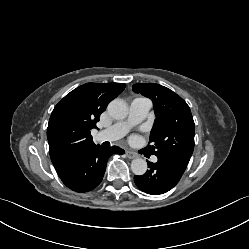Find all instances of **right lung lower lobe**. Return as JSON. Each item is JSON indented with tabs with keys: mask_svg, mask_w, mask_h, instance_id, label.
<instances>
[{
	"mask_svg": "<svg viewBox=\"0 0 249 249\" xmlns=\"http://www.w3.org/2000/svg\"><path fill=\"white\" fill-rule=\"evenodd\" d=\"M113 153L124 154V150L117 146L107 150L94 144L59 177L73 191L93 190L102 181L107 160Z\"/></svg>",
	"mask_w": 249,
	"mask_h": 249,
	"instance_id": "1",
	"label": "right lung lower lobe"
}]
</instances>
